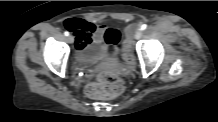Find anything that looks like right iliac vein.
<instances>
[{"label":"right iliac vein","mask_w":218,"mask_h":122,"mask_svg":"<svg viewBox=\"0 0 218 122\" xmlns=\"http://www.w3.org/2000/svg\"><path fill=\"white\" fill-rule=\"evenodd\" d=\"M69 43H73L74 42V37L72 35L68 36L67 38Z\"/></svg>","instance_id":"obj_1"}]
</instances>
